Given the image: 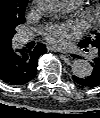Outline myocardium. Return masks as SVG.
<instances>
[{
    "mask_svg": "<svg viewBox=\"0 0 100 118\" xmlns=\"http://www.w3.org/2000/svg\"><path fill=\"white\" fill-rule=\"evenodd\" d=\"M94 15H95V11L92 9H87L85 11V18H87L89 20L93 19Z\"/></svg>",
    "mask_w": 100,
    "mask_h": 118,
    "instance_id": "1",
    "label": "myocardium"
}]
</instances>
